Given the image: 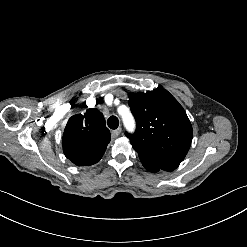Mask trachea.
<instances>
[{"instance_id": "3493384b", "label": "trachea", "mask_w": 247, "mask_h": 247, "mask_svg": "<svg viewBox=\"0 0 247 247\" xmlns=\"http://www.w3.org/2000/svg\"><path fill=\"white\" fill-rule=\"evenodd\" d=\"M107 124L111 129H117V127L119 126V120L117 117L111 116L109 117Z\"/></svg>"}]
</instances>
